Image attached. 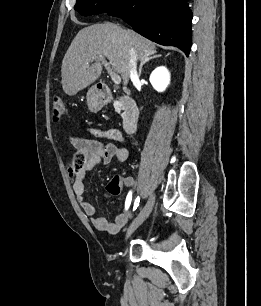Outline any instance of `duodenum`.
<instances>
[{
    "mask_svg": "<svg viewBox=\"0 0 261 306\" xmlns=\"http://www.w3.org/2000/svg\"><path fill=\"white\" fill-rule=\"evenodd\" d=\"M96 96L99 101L107 103L113 99V94L106 84H98L96 88ZM123 107V129L126 133H133L136 130L140 111L136 102L129 96H120Z\"/></svg>",
    "mask_w": 261,
    "mask_h": 306,
    "instance_id": "1",
    "label": "duodenum"
}]
</instances>
